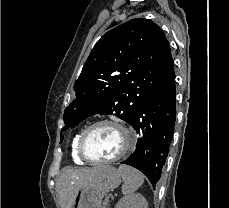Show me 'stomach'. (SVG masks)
I'll return each instance as SVG.
<instances>
[{
    "label": "stomach",
    "mask_w": 229,
    "mask_h": 208,
    "mask_svg": "<svg viewBox=\"0 0 229 208\" xmlns=\"http://www.w3.org/2000/svg\"><path fill=\"white\" fill-rule=\"evenodd\" d=\"M121 182L119 170L113 166H104L100 176L79 188L72 208H101L102 198L107 190L118 188Z\"/></svg>",
    "instance_id": "obj_1"
}]
</instances>
